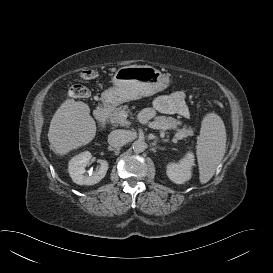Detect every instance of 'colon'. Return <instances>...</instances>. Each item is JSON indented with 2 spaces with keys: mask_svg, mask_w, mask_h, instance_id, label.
Segmentation results:
<instances>
[{
  "mask_svg": "<svg viewBox=\"0 0 273 273\" xmlns=\"http://www.w3.org/2000/svg\"><path fill=\"white\" fill-rule=\"evenodd\" d=\"M83 79H93L97 77V70L95 69H86L81 73ZM70 93L76 98H86L89 96V90L87 87L80 83H75L70 87Z\"/></svg>",
  "mask_w": 273,
  "mask_h": 273,
  "instance_id": "obj_1",
  "label": "colon"
}]
</instances>
